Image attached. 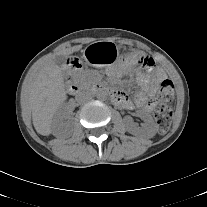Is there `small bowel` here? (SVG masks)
<instances>
[{"label": "small bowel", "mask_w": 207, "mask_h": 207, "mask_svg": "<svg viewBox=\"0 0 207 207\" xmlns=\"http://www.w3.org/2000/svg\"><path fill=\"white\" fill-rule=\"evenodd\" d=\"M108 74L112 78H117L122 74V70L112 68L108 71ZM166 75L160 68L153 73L152 76H148L142 72L137 74V82L140 86V90L136 94L135 102L133 103L125 93L121 91H115L116 96L114 101L116 104L126 109H132L134 106L144 110H151L153 108L152 96L161 81L165 79Z\"/></svg>", "instance_id": "obj_1"}]
</instances>
